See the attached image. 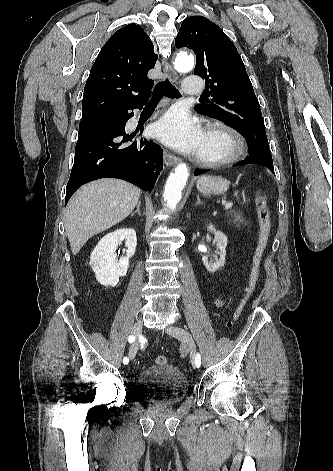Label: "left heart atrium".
<instances>
[{
	"instance_id": "obj_1",
	"label": "left heart atrium",
	"mask_w": 333,
	"mask_h": 471,
	"mask_svg": "<svg viewBox=\"0 0 333 471\" xmlns=\"http://www.w3.org/2000/svg\"><path fill=\"white\" fill-rule=\"evenodd\" d=\"M203 131L199 123L186 111L173 109L155 125V135L167 145L183 152H198Z\"/></svg>"
}]
</instances>
